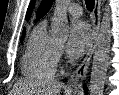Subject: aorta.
Listing matches in <instances>:
<instances>
[{"mask_svg":"<svg viewBox=\"0 0 119 95\" xmlns=\"http://www.w3.org/2000/svg\"><path fill=\"white\" fill-rule=\"evenodd\" d=\"M71 0H56L52 22V32L57 38H67L69 24L67 19V6ZM107 11V9H106ZM111 23L107 12L104 13L96 42L90 78V95H103L104 85L109 66L111 45Z\"/></svg>","mask_w":119,"mask_h":95,"instance_id":"1","label":"aorta"}]
</instances>
